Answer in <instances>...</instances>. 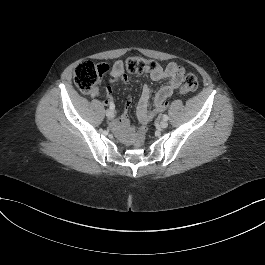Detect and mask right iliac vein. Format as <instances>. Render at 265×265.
Returning a JSON list of instances; mask_svg holds the SVG:
<instances>
[{
	"label": "right iliac vein",
	"mask_w": 265,
	"mask_h": 265,
	"mask_svg": "<svg viewBox=\"0 0 265 265\" xmlns=\"http://www.w3.org/2000/svg\"><path fill=\"white\" fill-rule=\"evenodd\" d=\"M106 116L108 119H112L114 117V112L111 109L106 111Z\"/></svg>",
	"instance_id": "right-iliac-vein-1"
}]
</instances>
